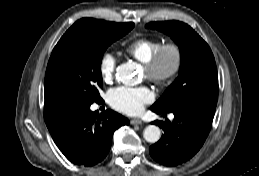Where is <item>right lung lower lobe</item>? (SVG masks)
<instances>
[{"instance_id": "1", "label": "right lung lower lobe", "mask_w": 259, "mask_h": 176, "mask_svg": "<svg viewBox=\"0 0 259 176\" xmlns=\"http://www.w3.org/2000/svg\"><path fill=\"white\" fill-rule=\"evenodd\" d=\"M91 104L60 101L44 108L48 130L64 156L76 165L92 166L108 154L116 129L129 120L107 110L102 114L90 110Z\"/></svg>"}]
</instances>
